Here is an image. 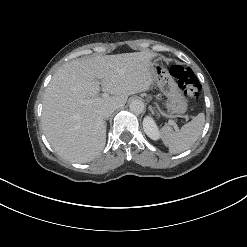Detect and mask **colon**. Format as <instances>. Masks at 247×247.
Wrapping results in <instances>:
<instances>
[{"instance_id":"colon-1","label":"colon","mask_w":247,"mask_h":247,"mask_svg":"<svg viewBox=\"0 0 247 247\" xmlns=\"http://www.w3.org/2000/svg\"><path fill=\"white\" fill-rule=\"evenodd\" d=\"M170 72L184 93L191 99L197 100L201 85L194 72L190 68L181 65H173Z\"/></svg>"}]
</instances>
